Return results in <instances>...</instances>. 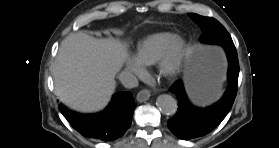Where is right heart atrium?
Listing matches in <instances>:
<instances>
[{
    "label": "right heart atrium",
    "mask_w": 279,
    "mask_h": 148,
    "mask_svg": "<svg viewBox=\"0 0 279 148\" xmlns=\"http://www.w3.org/2000/svg\"><path fill=\"white\" fill-rule=\"evenodd\" d=\"M127 70L137 76L144 73L143 65H141L136 58H132L127 61Z\"/></svg>",
    "instance_id": "obj_1"
}]
</instances>
